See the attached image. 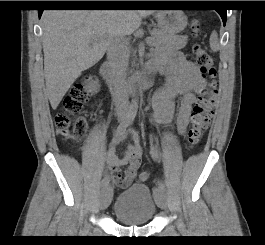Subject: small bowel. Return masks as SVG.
Here are the masks:
<instances>
[{
    "mask_svg": "<svg viewBox=\"0 0 265 245\" xmlns=\"http://www.w3.org/2000/svg\"><path fill=\"white\" fill-rule=\"evenodd\" d=\"M148 64L155 71L167 75L165 84L153 97L152 118L157 125L163 126H168L175 118L177 132L183 135L190 123L197 94L203 86L201 74L195 65L185 60L179 53L169 56L154 55ZM132 137L133 143L127 145L122 156L117 155L115 146L125 138V132L113 138L107 153L105 175L113 185L122 189L133 183L141 163L140 137L136 131L132 132ZM124 165L126 169L122 173L120 167Z\"/></svg>",
    "mask_w": 265,
    "mask_h": 245,
    "instance_id": "small-bowel-1",
    "label": "small bowel"
}]
</instances>
